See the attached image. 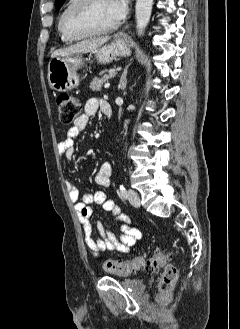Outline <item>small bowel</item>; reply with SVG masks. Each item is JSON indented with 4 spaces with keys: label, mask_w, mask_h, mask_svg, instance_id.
<instances>
[{
    "label": "small bowel",
    "mask_w": 240,
    "mask_h": 329,
    "mask_svg": "<svg viewBox=\"0 0 240 329\" xmlns=\"http://www.w3.org/2000/svg\"><path fill=\"white\" fill-rule=\"evenodd\" d=\"M103 100L90 99L86 102L84 112L75 120L72 127L66 133V137L58 144V152L67 160L71 161L76 154L74 148V139L85 130L89 119L95 115L99 108L102 109ZM112 165L109 162L103 163L95 175L96 184L102 187H108L111 183ZM69 199L77 212L80 223L84 230V241L90 253L99 258L100 253L105 250L129 253L131 247L141 238V232L131 224L128 215L121 212L119 205L112 199H109L105 192L96 191L85 193L82 199H79V191L71 182H66ZM92 205H100L111 213L114 222L120 229V235L116 236L110 229L106 228L102 221L96 224L100 238L93 237V229L90 219L93 213Z\"/></svg>",
    "instance_id": "small-bowel-1"
}]
</instances>
